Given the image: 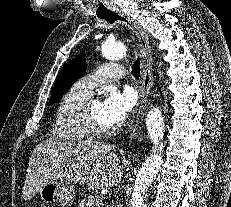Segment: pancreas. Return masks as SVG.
<instances>
[{"label":"pancreas","instance_id":"pancreas-1","mask_svg":"<svg viewBox=\"0 0 231 207\" xmlns=\"http://www.w3.org/2000/svg\"><path fill=\"white\" fill-rule=\"evenodd\" d=\"M102 206V196L95 193L87 198H84L79 203V207H101Z\"/></svg>","mask_w":231,"mask_h":207}]
</instances>
